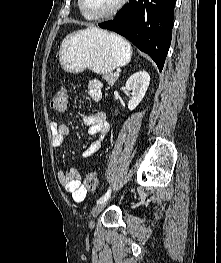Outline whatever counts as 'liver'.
<instances>
[{"mask_svg":"<svg viewBox=\"0 0 221 263\" xmlns=\"http://www.w3.org/2000/svg\"><path fill=\"white\" fill-rule=\"evenodd\" d=\"M88 29L91 30V31H96L97 30V28H93V27H90Z\"/></svg>","mask_w":221,"mask_h":263,"instance_id":"6515ba94","label":"liver"}]
</instances>
